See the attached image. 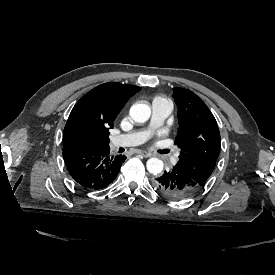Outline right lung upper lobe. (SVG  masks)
I'll list each match as a JSON object with an SVG mask.
<instances>
[{
    "instance_id": "obj_1",
    "label": "right lung upper lobe",
    "mask_w": 275,
    "mask_h": 275,
    "mask_svg": "<svg viewBox=\"0 0 275 275\" xmlns=\"http://www.w3.org/2000/svg\"><path fill=\"white\" fill-rule=\"evenodd\" d=\"M140 87L116 82L99 85L85 94L73 107L64 129L63 149L78 146L86 130L108 131L126 101Z\"/></svg>"
}]
</instances>
